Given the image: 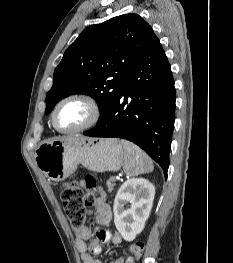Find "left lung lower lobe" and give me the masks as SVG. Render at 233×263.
<instances>
[{"label":"left lung lower lobe","instance_id":"1","mask_svg":"<svg viewBox=\"0 0 233 263\" xmlns=\"http://www.w3.org/2000/svg\"><path fill=\"white\" fill-rule=\"evenodd\" d=\"M175 101L171 67L156 37L126 75L114 105L84 135L117 137L137 144L167 178Z\"/></svg>","mask_w":233,"mask_h":263}]
</instances>
